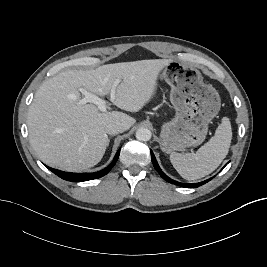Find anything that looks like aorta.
Instances as JSON below:
<instances>
[{
	"label": "aorta",
	"instance_id": "762f6f07",
	"mask_svg": "<svg viewBox=\"0 0 267 267\" xmlns=\"http://www.w3.org/2000/svg\"><path fill=\"white\" fill-rule=\"evenodd\" d=\"M151 136V131L146 127H141L136 131V138L139 141H149Z\"/></svg>",
	"mask_w": 267,
	"mask_h": 267
}]
</instances>
